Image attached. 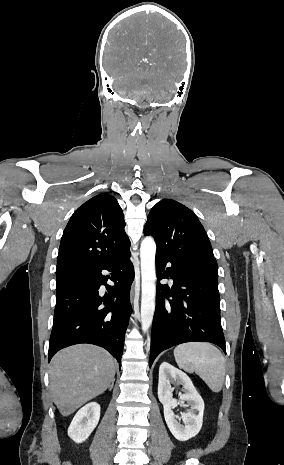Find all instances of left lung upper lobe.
Instances as JSON below:
<instances>
[{
	"label": "left lung upper lobe",
	"instance_id": "1",
	"mask_svg": "<svg viewBox=\"0 0 284 465\" xmlns=\"http://www.w3.org/2000/svg\"><path fill=\"white\" fill-rule=\"evenodd\" d=\"M144 234L154 237L157 252L218 277L211 243L197 216L183 204L163 199L153 206Z\"/></svg>",
	"mask_w": 284,
	"mask_h": 465
}]
</instances>
